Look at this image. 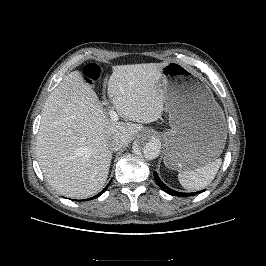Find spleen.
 Segmentation results:
<instances>
[{"instance_id": "spleen-1", "label": "spleen", "mask_w": 266, "mask_h": 266, "mask_svg": "<svg viewBox=\"0 0 266 266\" xmlns=\"http://www.w3.org/2000/svg\"><path fill=\"white\" fill-rule=\"evenodd\" d=\"M221 164L222 159L218 158L194 170L181 171L178 180L187 190H201L213 181Z\"/></svg>"}]
</instances>
